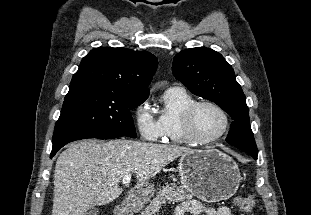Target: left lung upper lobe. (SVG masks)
<instances>
[{"instance_id": "5c2ea615", "label": "left lung upper lobe", "mask_w": 311, "mask_h": 215, "mask_svg": "<svg viewBox=\"0 0 311 215\" xmlns=\"http://www.w3.org/2000/svg\"><path fill=\"white\" fill-rule=\"evenodd\" d=\"M172 72L193 94L216 103L232 117L229 144L258 155L245 95L220 53L206 47L186 49L174 57Z\"/></svg>"}]
</instances>
